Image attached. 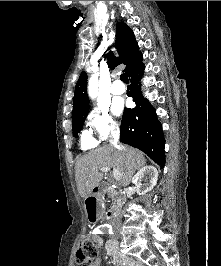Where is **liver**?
I'll return each mask as SVG.
<instances>
[{
    "label": "liver",
    "instance_id": "6515ba94",
    "mask_svg": "<svg viewBox=\"0 0 221 266\" xmlns=\"http://www.w3.org/2000/svg\"><path fill=\"white\" fill-rule=\"evenodd\" d=\"M117 150L111 145L95 149L80 157L75 165V180L78 192L82 198H87L89 189H94L103 179L101 167L117 169L121 174L119 185L130 184L133 174L145 166L143 153L132 147L122 146Z\"/></svg>",
    "mask_w": 221,
    "mask_h": 266
}]
</instances>
